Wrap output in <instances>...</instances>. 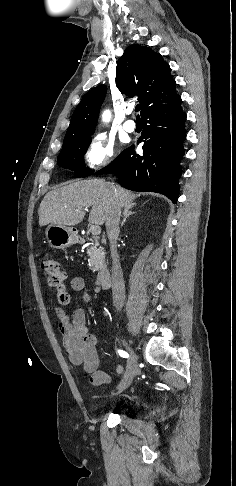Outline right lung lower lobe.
I'll return each instance as SVG.
<instances>
[{"mask_svg": "<svg viewBox=\"0 0 236 486\" xmlns=\"http://www.w3.org/2000/svg\"><path fill=\"white\" fill-rule=\"evenodd\" d=\"M176 93L142 111L141 140L143 155L135 154V145L126 148L109 166L96 174L114 173L123 187L141 192H157L174 203L178 198L182 146L186 139V114Z\"/></svg>", "mask_w": 236, "mask_h": 486, "instance_id": "obj_1", "label": "right lung lower lobe"}]
</instances>
